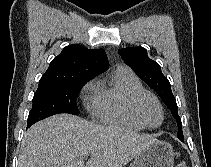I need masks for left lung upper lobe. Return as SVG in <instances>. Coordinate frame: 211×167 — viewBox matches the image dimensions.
<instances>
[{
  "instance_id": "left-lung-upper-lobe-1",
  "label": "left lung upper lobe",
  "mask_w": 211,
  "mask_h": 167,
  "mask_svg": "<svg viewBox=\"0 0 211 167\" xmlns=\"http://www.w3.org/2000/svg\"><path fill=\"white\" fill-rule=\"evenodd\" d=\"M118 52L135 73L158 93L177 121V137L184 139L181 118L177 112L176 99L168 79L161 72L159 64L151 60L147 56V51L141 47L123 48L119 49Z\"/></svg>"
}]
</instances>
